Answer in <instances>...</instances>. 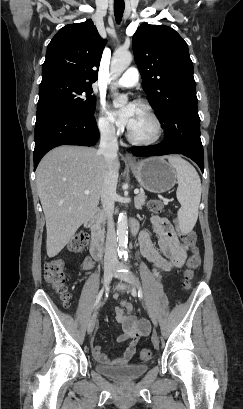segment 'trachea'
Instances as JSON below:
<instances>
[{
  "label": "trachea",
  "instance_id": "obj_1",
  "mask_svg": "<svg viewBox=\"0 0 243 409\" xmlns=\"http://www.w3.org/2000/svg\"><path fill=\"white\" fill-rule=\"evenodd\" d=\"M124 2L123 1H118V2H114V14H115V18H116V22L120 23L122 16H123V12H124Z\"/></svg>",
  "mask_w": 243,
  "mask_h": 409
}]
</instances>
